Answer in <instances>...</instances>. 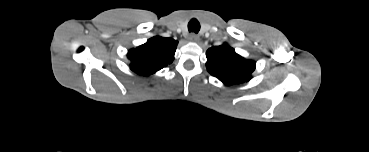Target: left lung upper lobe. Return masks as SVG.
<instances>
[{
  "instance_id": "left-lung-upper-lobe-1",
  "label": "left lung upper lobe",
  "mask_w": 369,
  "mask_h": 152,
  "mask_svg": "<svg viewBox=\"0 0 369 152\" xmlns=\"http://www.w3.org/2000/svg\"><path fill=\"white\" fill-rule=\"evenodd\" d=\"M208 72L225 85L247 82L255 70V62L246 60L226 45L214 46L206 52Z\"/></svg>"
}]
</instances>
